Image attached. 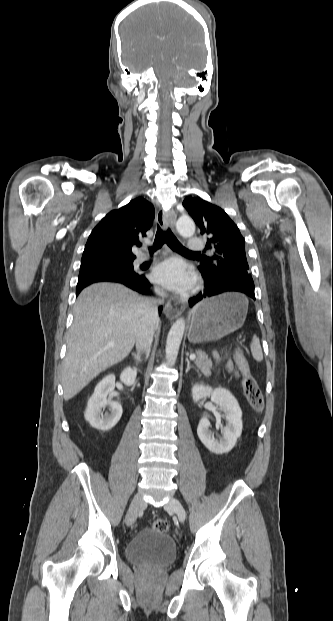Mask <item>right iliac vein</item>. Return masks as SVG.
Listing matches in <instances>:
<instances>
[{
	"label": "right iliac vein",
	"mask_w": 333,
	"mask_h": 621,
	"mask_svg": "<svg viewBox=\"0 0 333 621\" xmlns=\"http://www.w3.org/2000/svg\"><path fill=\"white\" fill-rule=\"evenodd\" d=\"M144 502L140 493L136 494L132 502L130 504L129 510L126 514V524L128 526L132 525L137 518L138 512L140 508L143 506Z\"/></svg>",
	"instance_id": "obj_1"
}]
</instances>
